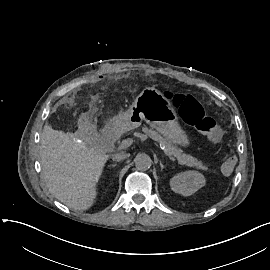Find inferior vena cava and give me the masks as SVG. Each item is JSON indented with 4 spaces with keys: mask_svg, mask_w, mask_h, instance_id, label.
I'll use <instances>...</instances> for the list:
<instances>
[{
    "mask_svg": "<svg viewBox=\"0 0 270 270\" xmlns=\"http://www.w3.org/2000/svg\"><path fill=\"white\" fill-rule=\"evenodd\" d=\"M129 156H130L129 154L124 153V152L123 153H117V154L113 155L112 159L114 161H121V160H124V159L128 158Z\"/></svg>",
    "mask_w": 270,
    "mask_h": 270,
    "instance_id": "obj_1",
    "label": "inferior vena cava"
}]
</instances>
